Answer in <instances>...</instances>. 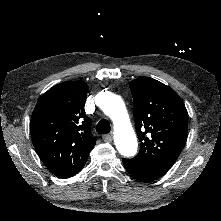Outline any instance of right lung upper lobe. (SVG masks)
Returning <instances> with one entry per match:
<instances>
[{"label": "right lung upper lobe", "instance_id": "right-lung-upper-lobe-1", "mask_svg": "<svg viewBox=\"0 0 221 221\" xmlns=\"http://www.w3.org/2000/svg\"><path fill=\"white\" fill-rule=\"evenodd\" d=\"M88 86L83 81L53 86L38 100L31 117V136L38 156L59 178L84 167L96 138L84 114Z\"/></svg>", "mask_w": 221, "mask_h": 221}]
</instances>
